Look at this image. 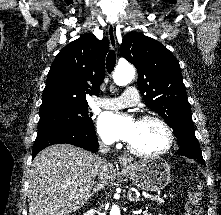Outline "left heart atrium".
<instances>
[{
  "label": "left heart atrium",
  "instance_id": "obj_1",
  "mask_svg": "<svg viewBox=\"0 0 221 215\" xmlns=\"http://www.w3.org/2000/svg\"><path fill=\"white\" fill-rule=\"evenodd\" d=\"M137 122L126 115L106 112L98 121V130L104 140L130 142L135 134Z\"/></svg>",
  "mask_w": 221,
  "mask_h": 215
}]
</instances>
